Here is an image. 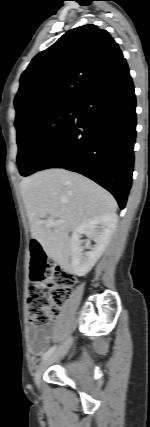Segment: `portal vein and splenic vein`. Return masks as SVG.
<instances>
[{
    "mask_svg": "<svg viewBox=\"0 0 150 427\" xmlns=\"http://www.w3.org/2000/svg\"><path fill=\"white\" fill-rule=\"evenodd\" d=\"M44 222H45V224L47 226H50V227H53V226L60 225V224L64 223V221H60V220L59 221H54V220H51V219H48V220H46Z\"/></svg>",
    "mask_w": 150,
    "mask_h": 427,
    "instance_id": "obj_1",
    "label": "portal vein and splenic vein"
}]
</instances>
